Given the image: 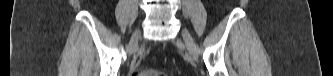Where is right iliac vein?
Listing matches in <instances>:
<instances>
[{
	"label": "right iliac vein",
	"instance_id": "1",
	"mask_svg": "<svg viewBox=\"0 0 333 76\" xmlns=\"http://www.w3.org/2000/svg\"><path fill=\"white\" fill-rule=\"evenodd\" d=\"M139 37H140V31L136 30L133 33V35L131 37V40H130V43H129V50L130 51H133L135 49Z\"/></svg>",
	"mask_w": 333,
	"mask_h": 76
}]
</instances>
